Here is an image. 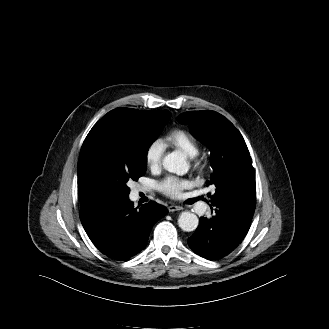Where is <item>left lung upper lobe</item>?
Instances as JSON below:
<instances>
[{
	"instance_id": "1",
	"label": "left lung upper lobe",
	"mask_w": 329,
	"mask_h": 329,
	"mask_svg": "<svg viewBox=\"0 0 329 329\" xmlns=\"http://www.w3.org/2000/svg\"><path fill=\"white\" fill-rule=\"evenodd\" d=\"M177 121L188 125L192 136L211 151L213 173L207 185L216 188L211 203L235 196L254 172L250 153L240 132L228 119L214 111L185 112L177 117Z\"/></svg>"
}]
</instances>
